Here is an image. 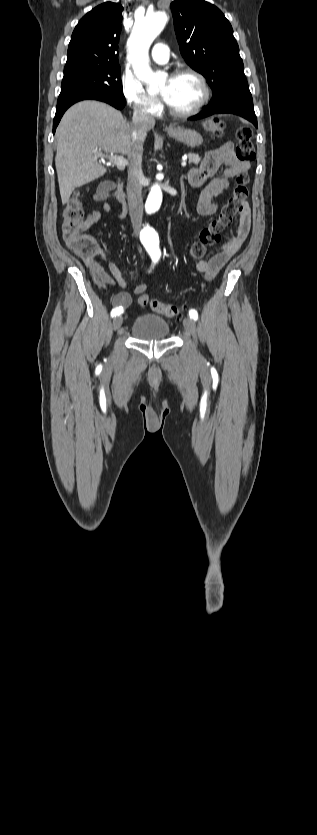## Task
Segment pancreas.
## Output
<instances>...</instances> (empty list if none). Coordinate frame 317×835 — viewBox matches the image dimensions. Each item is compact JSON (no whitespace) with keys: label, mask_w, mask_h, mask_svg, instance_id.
<instances>
[{"label":"pancreas","mask_w":317,"mask_h":835,"mask_svg":"<svg viewBox=\"0 0 317 835\" xmlns=\"http://www.w3.org/2000/svg\"><path fill=\"white\" fill-rule=\"evenodd\" d=\"M189 162L192 164H198L201 161V158L198 154L190 153L188 155Z\"/></svg>","instance_id":"cf45deb5"}]
</instances>
